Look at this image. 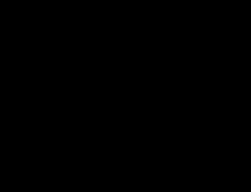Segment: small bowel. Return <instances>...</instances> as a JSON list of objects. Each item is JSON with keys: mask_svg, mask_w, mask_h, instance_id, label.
Wrapping results in <instances>:
<instances>
[{"mask_svg": "<svg viewBox=\"0 0 251 192\" xmlns=\"http://www.w3.org/2000/svg\"><path fill=\"white\" fill-rule=\"evenodd\" d=\"M198 56H200V55H198ZM133 62H134V61H133L132 59H129V60H128V64H129V65H132Z\"/></svg>", "mask_w": 251, "mask_h": 192, "instance_id": "1", "label": "small bowel"}]
</instances>
